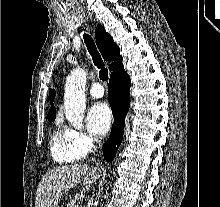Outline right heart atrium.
<instances>
[{"label":"right heart atrium","mask_w":220,"mask_h":207,"mask_svg":"<svg viewBox=\"0 0 220 207\" xmlns=\"http://www.w3.org/2000/svg\"><path fill=\"white\" fill-rule=\"evenodd\" d=\"M65 131L73 143L85 153L91 150L96 144V140L84 131L72 128H65Z\"/></svg>","instance_id":"d8ad5b80"}]
</instances>
